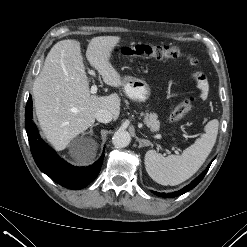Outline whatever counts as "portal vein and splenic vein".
<instances>
[{"label": "portal vein and splenic vein", "instance_id": "18ae733b", "mask_svg": "<svg viewBox=\"0 0 247 247\" xmlns=\"http://www.w3.org/2000/svg\"><path fill=\"white\" fill-rule=\"evenodd\" d=\"M90 74L95 75L93 71H90ZM90 92H91V94L97 93V86L95 84L91 86Z\"/></svg>", "mask_w": 247, "mask_h": 247}]
</instances>
